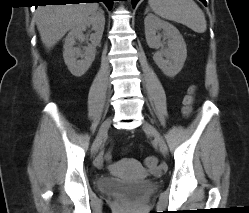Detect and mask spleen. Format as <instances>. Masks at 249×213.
<instances>
[{"instance_id":"obj_1","label":"spleen","mask_w":249,"mask_h":213,"mask_svg":"<svg viewBox=\"0 0 249 213\" xmlns=\"http://www.w3.org/2000/svg\"><path fill=\"white\" fill-rule=\"evenodd\" d=\"M148 3L164 19L182 23L197 33L207 29L205 15L193 0H148Z\"/></svg>"}]
</instances>
